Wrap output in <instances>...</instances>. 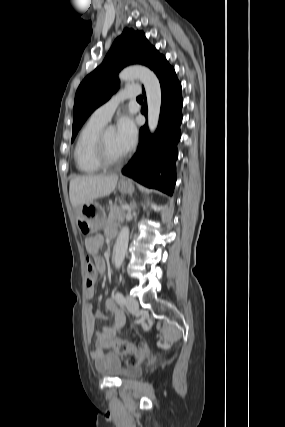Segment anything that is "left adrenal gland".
Wrapping results in <instances>:
<instances>
[{"instance_id": "1", "label": "left adrenal gland", "mask_w": 285, "mask_h": 427, "mask_svg": "<svg viewBox=\"0 0 285 427\" xmlns=\"http://www.w3.org/2000/svg\"><path fill=\"white\" fill-rule=\"evenodd\" d=\"M131 209L132 210L136 209V203L134 202V200L131 202Z\"/></svg>"}]
</instances>
